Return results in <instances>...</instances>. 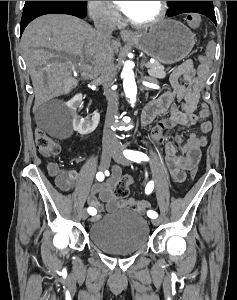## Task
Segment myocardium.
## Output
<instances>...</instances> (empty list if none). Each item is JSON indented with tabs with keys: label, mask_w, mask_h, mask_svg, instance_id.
Returning <instances> with one entry per match:
<instances>
[{
	"label": "myocardium",
	"mask_w": 237,
	"mask_h": 300,
	"mask_svg": "<svg viewBox=\"0 0 237 300\" xmlns=\"http://www.w3.org/2000/svg\"><path fill=\"white\" fill-rule=\"evenodd\" d=\"M167 11H168V1H159V11L152 20L147 22H137L130 19L129 17L127 20L132 26L136 28L148 29L160 24L166 17Z\"/></svg>",
	"instance_id": "f54148a6"
}]
</instances>
